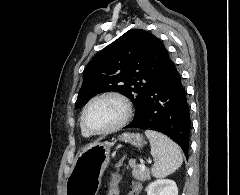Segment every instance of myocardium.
Instances as JSON below:
<instances>
[{
  "label": "myocardium",
  "mask_w": 240,
  "mask_h": 195,
  "mask_svg": "<svg viewBox=\"0 0 240 195\" xmlns=\"http://www.w3.org/2000/svg\"><path fill=\"white\" fill-rule=\"evenodd\" d=\"M107 99L116 100L121 104V106H122L121 117L119 118V120L117 122H115L114 124L104 128V129L97 130V131H89L85 125V117H86L88 110L94 104H96L100 101H103V100H107ZM132 113H133L132 103L127 96H125L124 94L117 92V91H106V92H103V93L93 97L86 104V106L84 107V109L82 111V115H81V127H82L83 132L88 136H97V135L108 134V133L114 132V131L119 130L120 128L124 127L130 120V118L132 117Z\"/></svg>",
  "instance_id": "obj_1"
}]
</instances>
